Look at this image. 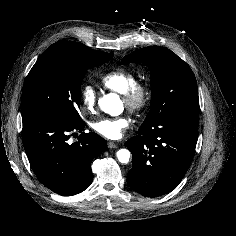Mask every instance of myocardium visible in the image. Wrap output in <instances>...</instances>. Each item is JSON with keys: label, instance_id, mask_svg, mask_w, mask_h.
Here are the masks:
<instances>
[{"label": "myocardium", "instance_id": "obj_1", "mask_svg": "<svg viewBox=\"0 0 236 236\" xmlns=\"http://www.w3.org/2000/svg\"><path fill=\"white\" fill-rule=\"evenodd\" d=\"M122 95L125 106L131 112L139 113L148 107L151 100V89L146 83L136 82Z\"/></svg>", "mask_w": 236, "mask_h": 236}]
</instances>
